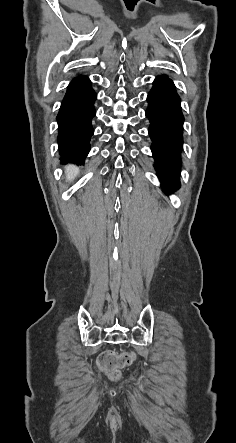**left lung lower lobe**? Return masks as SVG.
<instances>
[{"label":"left lung lower lobe","mask_w":236,"mask_h":443,"mask_svg":"<svg viewBox=\"0 0 236 443\" xmlns=\"http://www.w3.org/2000/svg\"><path fill=\"white\" fill-rule=\"evenodd\" d=\"M146 116L151 126L152 153L155 168L165 192H175L180 187V154L183 140V121L180 98L175 85L165 75L158 76L147 97Z\"/></svg>","instance_id":"0a47b994"}]
</instances>
